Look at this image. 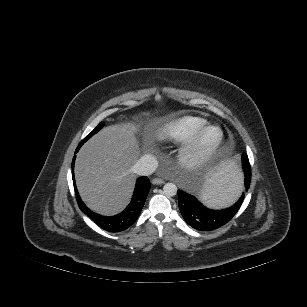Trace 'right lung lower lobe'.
I'll list each match as a JSON object with an SVG mask.
<instances>
[{
	"label": "right lung lower lobe",
	"instance_id": "right-lung-lower-lobe-1",
	"mask_svg": "<svg viewBox=\"0 0 307 307\" xmlns=\"http://www.w3.org/2000/svg\"><path fill=\"white\" fill-rule=\"evenodd\" d=\"M81 145L82 144L80 143L76 149V152L79 150ZM74 162L75 156L72 161V178L75 187L76 199L81 211L88 215L100 228L109 232H120L130 227L138 218L145 203L147 194L150 190L149 179L145 176L138 178L132 200L123 212L112 217H105L92 212L81 200L75 185Z\"/></svg>",
	"mask_w": 307,
	"mask_h": 307
}]
</instances>
